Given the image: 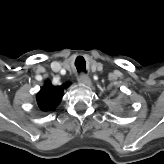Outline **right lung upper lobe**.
Listing matches in <instances>:
<instances>
[{
    "instance_id": "right-lung-upper-lobe-1",
    "label": "right lung upper lobe",
    "mask_w": 164,
    "mask_h": 164,
    "mask_svg": "<svg viewBox=\"0 0 164 164\" xmlns=\"http://www.w3.org/2000/svg\"><path fill=\"white\" fill-rule=\"evenodd\" d=\"M70 84L66 83L61 86H53L50 82L46 81L45 85L41 88L36 96L37 104L41 110L47 111L55 108L61 101V92Z\"/></svg>"
}]
</instances>
